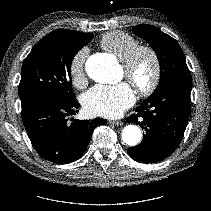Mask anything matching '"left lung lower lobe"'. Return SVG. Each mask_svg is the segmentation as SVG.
I'll list each match as a JSON object with an SVG mask.
<instances>
[{"label": "left lung lower lobe", "mask_w": 211, "mask_h": 211, "mask_svg": "<svg viewBox=\"0 0 211 211\" xmlns=\"http://www.w3.org/2000/svg\"><path fill=\"white\" fill-rule=\"evenodd\" d=\"M191 78L168 83L148 97L127 122L145 129L142 142L128 149L137 161L155 163L171 155L179 146L190 116Z\"/></svg>", "instance_id": "0a47b994"}]
</instances>
